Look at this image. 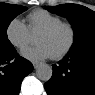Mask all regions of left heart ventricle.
<instances>
[{
  "instance_id": "obj_1",
  "label": "left heart ventricle",
  "mask_w": 95,
  "mask_h": 95,
  "mask_svg": "<svg viewBox=\"0 0 95 95\" xmlns=\"http://www.w3.org/2000/svg\"><path fill=\"white\" fill-rule=\"evenodd\" d=\"M69 39L70 33L68 29L61 28L50 35L39 33L36 37V43L46 45L51 54L54 55L61 52L67 46Z\"/></svg>"
}]
</instances>
